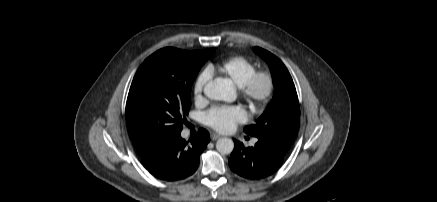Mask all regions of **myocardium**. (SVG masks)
<instances>
[{
  "instance_id": "obj_1",
  "label": "myocardium",
  "mask_w": 437,
  "mask_h": 202,
  "mask_svg": "<svg viewBox=\"0 0 437 202\" xmlns=\"http://www.w3.org/2000/svg\"><path fill=\"white\" fill-rule=\"evenodd\" d=\"M275 87L273 75L267 70L255 71L239 87L241 96L257 110L268 102Z\"/></svg>"
}]
</instances>
